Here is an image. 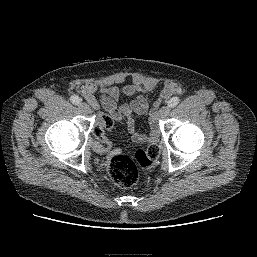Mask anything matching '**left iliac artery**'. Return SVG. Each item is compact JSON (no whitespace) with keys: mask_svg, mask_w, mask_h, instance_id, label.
<instances>
[{"mask_svg":"<svg viewBox=\"0 0 257 257\" xmlns=\"http://www.w3.org/2000/svg\"><path fill=\"white\" fill-rule=\"evenodd\" d=\"M179 102H180V99H179L178 97H173V98H171V99L169 100L168 106H169L170 108H173V107H175L176 105H178Z\"/></svg>","mask_w":257,"mask_h":257,"instance_id":"44dca946","label":"left iliac artery"}]
</instances>
